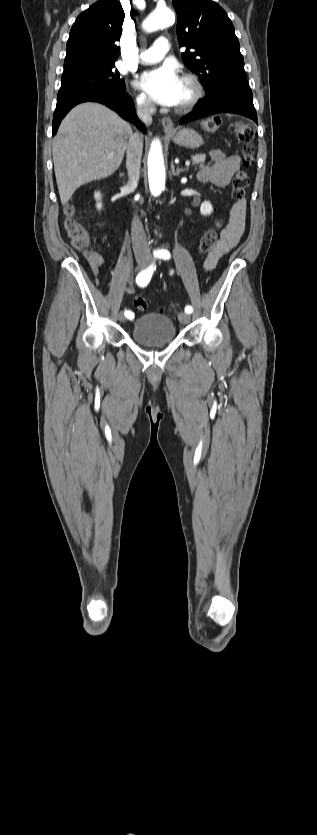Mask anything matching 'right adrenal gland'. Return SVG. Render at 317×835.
Wrapping results in <instances>:
<instances>
[{"instance_id":"right-adrenal-gland-1","label":"right adrenal gland","mask_w":317,"mask_h":835,"mask_svg":"<svg viewBox=\"0 0 317 835\" xmlns=\"http://www.w3.org/2000/svg\"><path fill=\"white\" fill-rule=\"evenodd\" d=\"M120 176H121V177H124V174H123V173H121V174H120Z\"/></svg>"}]
</instances>
